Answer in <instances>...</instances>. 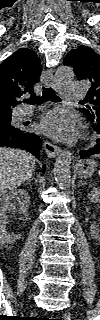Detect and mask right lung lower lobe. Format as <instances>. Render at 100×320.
Masks as SVG:
<instances>
[{
  "instance_id": "98d812e1",
  "label": "right lung lower lobe",
  "mask_w": 100,
  "mask_h": 320,
  "mask_svg": "<svg viewBox=\"0 0 100 320\" xmlns=\"http://www.w3.org/2000/svg\"><path fill=\"white\" fill-rule=\"evenodd\" d=\"M0 146L24 149L39 159L42 142L39 136L31 133L27 128L18 130L4 129L0 132Z\"/></svg>"
}]
</instances>
